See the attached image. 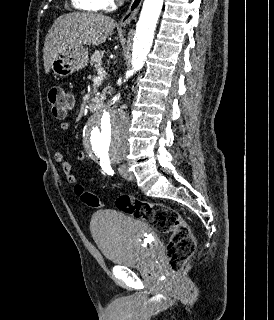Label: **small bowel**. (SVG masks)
Segmentation results:
<instances>
[{
	"instance_id": "1",
	"label": "small bowel",
	"mask_w": 274,
	"mask_h": 320,
	"mask_svg": "<svg viewBox=\"0 0 274 320\" xmlns=\"http://www.w3.org/2000/svg\"><path fill=\"white\" fill-rule=\"evenodd\" d=\"M59 129L62 132H65L69 129V124L67 122H63L60 124ZM86 159V154L83 151L78 152L77 160L79 162H83ZM54 160L59 164L63 175L68 183H76L77 178L72 171V166L69 161H67L63 155V153L57 151L54 153Z\"/></svg>"
}]
</instances>
